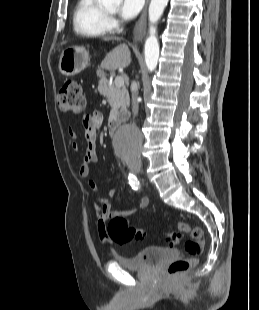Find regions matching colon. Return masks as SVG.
I'll list each match as a JSON object with an SVG mask.
<instances>
[{
    "label": "colon",
    "mask_w": 259,
    "mask_h": 310,
    "mask_svg": "<svg viewBox=\"0 0 259 310\" xmlns=\"http://www.w3.org/2000/svg\"><path fill=\"white\" fill-rule=\"evenodd\" d=\"M58 108L66 113L81 114L85 108V98L79 81L67 79L61 86L57 95ZM177 232H170L165 239L172 245H178L182 239V233H188L190 238L184 243L188 258L173 261L168 267L171 276L180 275L188 271L195 263L196 258L203 251V231L200 227L185 222L176 224ZM107 232L111 240L118 244L128 243L134 239H141L146 232L131 225L127 218L121 215L113 216L107 226Z\"/></svg>",
    "instance_id": "1"
}]
</instances>
